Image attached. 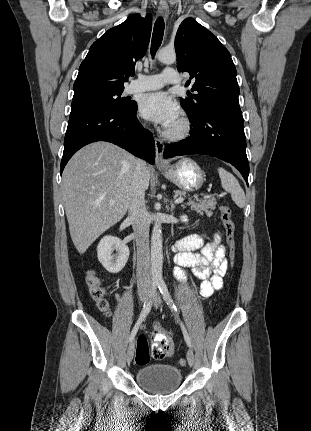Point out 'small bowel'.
<instances>
[{
	"label": "small bowel",
	"mask_w": 311,
	"mask_h": 431,
	"mask_svg": "<svg viewBox=\"0 0 311 431\" xmlns=\"http://www.w3.org/2000/svg\"><path fill=\"white\" fill-rule=\"evenodd\" d=\"M185 223L186 219L182 218ZM175 261L180 267L190 268L193 275L201 280L200 294L210 297L223 286V277L228 271V261L225 257L226 248L221 244L219 234L213 236L211 242L205 243V236L190 233L175 244ZM184 279V275L180 274ZM155 337L170 339L157 327Z\"/></svg>",
	"instance_id": "c3829d8e"
}]
</instances>
